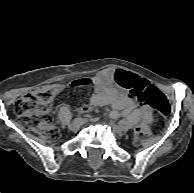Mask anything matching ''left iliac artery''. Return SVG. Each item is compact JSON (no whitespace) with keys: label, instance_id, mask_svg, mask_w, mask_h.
<instances>
[{"label":"left iliac artery","instance_id":"left-iliac-artery-1","mask_svg":"<svg viewBox=\"0 0 194 193\" xmlns=\"http://www.w3.org/2000/svg\"><path fill=\"white\" fill-rule=\"evenodd\" d=\"M120 124H125V120H121L120 121Z\"/></svg>","mask_w":194,"mask_h":193}]
</instances>
